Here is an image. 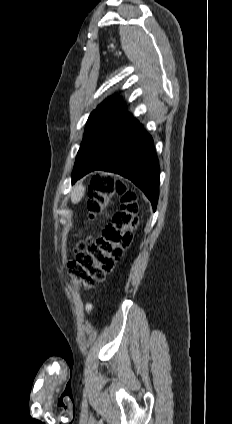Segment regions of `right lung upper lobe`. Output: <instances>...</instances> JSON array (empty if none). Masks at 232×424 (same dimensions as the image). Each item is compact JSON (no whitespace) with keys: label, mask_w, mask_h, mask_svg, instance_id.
I'll list each match as a JSON object with an SVG mask.
<instances>
[{"label":"right lung upper lobe","mask_w":232,"mask_h":424,"mask_svg":"<svg viewBox=\"0 0 232 424\" xmlns=\"http://www.w3.org/2000/svg\"><path fill=\"white\" fill-rule=\"evenodd\" d=\"M100 108H125L123 101L118 97H111L101 103L97 109Z\"/></svg>","instance_id":"obj_1"}]
</instances>
